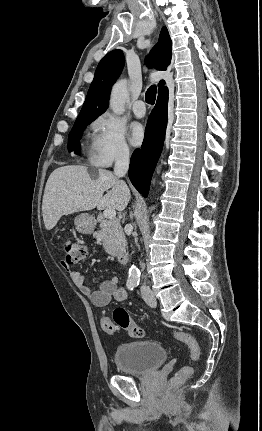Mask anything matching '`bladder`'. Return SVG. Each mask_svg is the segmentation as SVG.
Listing matches in <instances>:
<instances>
[{
  "mask_svg": "<svg viewBox=\"0 0 262 431\" xmlns=\"http://www.w3.org/2000/svg\"><path fill=\"white\" fill-rule=\"evenodd\" d=\"M167 359V351L161 343L136 340L117 347L115 363L119 371L145 375L156 371Z\"/></svg>",
  "mask_w": 262,
  "mask_h": 431,
  "instance_id": "31cf9c89",
  "label": "bladder"
}]
</instances>
